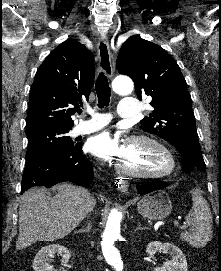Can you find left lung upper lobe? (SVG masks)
<instances>
[{
  "instance_id": "1",
  "label": "left lung upper lobe",
  "mask_w": 221,
  "mask_h": 271,
  "mask_svg": "<svg viewBox=\"0 0 221 271\" xmlns=\"http://www.w3.org/2000/svg\"><path fill=\"white\" fill-rule=\"evenodd\" d=\"M117 70L133 79L139 100L152 97L154 110L140 121L142 130L168 141L182 158L206 170L191 97L177 62L159 45L132 36L120 49Z\"/></svg>"
}]
</instances>
